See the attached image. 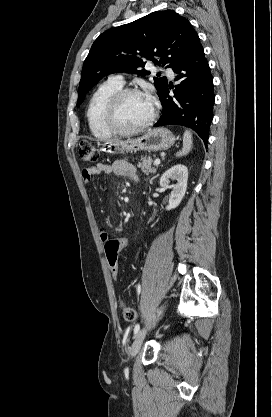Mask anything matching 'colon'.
Segmentation results:
<instances>
[{
	"label": "colon",
	"instance_id": "colon-1",
	"mask_svg": "<svg viewBox=\"0 0 272 417\" xmlns=\"http://www.w3.org/2000/svg\"><path fill=\"white\" fill-rule=\"evenodd\" d=\"M80 158L87 162H95L99 157V153L95 145L90 141H83L79 149ZM129 241L127 238L118 237L110 238L105 242L104 252L109 266L111 277L117 281L119 275L118 254L127 249ZM123 317L127 321H134L138 314L134 308L129 307L125 302H121Z\"/></svg>",
	"mask_w": 272,
	"mask_h": 417
}]
</instances>
